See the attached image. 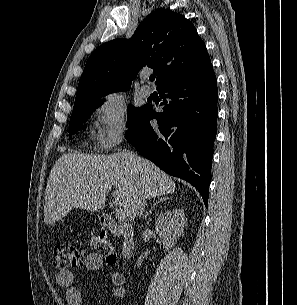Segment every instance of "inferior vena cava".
<instances>
[{
    "label": "inferior vena cava",
    "instance_id": "602c4592",
    "mask_svg": "<svg viewBox=\"0 0 297 305\" xmlns=\"http://www.w3.org/2000/svg\"><path fill=\"white\" fill-rule=\"evenodd\" d=\"M125 155L128 159V164L132 166V168H134L135 170L139 171L141 166L138 157L133 152L130 151H125ZM146 199H147L146 191L143 186H140L137 192L136 207H135V213L137 217L142 216L146 204Z\"/></svg>",
    "mask_w": 297,
    "mask_h": 305
}]
</instances>
